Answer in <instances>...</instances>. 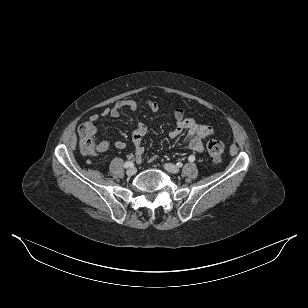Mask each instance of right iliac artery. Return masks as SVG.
I'll return each instance as SVG.
<instances>
[{"mask_svg": "<svg viewBox=\"0 0 308 308\" xmlns=\"http://www.w3.org/2000/svg\"><path fill=\"white\" fill-rule=\"evenodd\" d=\"M133 166V162L132 161H127L124 164V167L128 168V167H132Z\"/></svg>", "mask_w": 308, "mask_h": 308, "instance_id": "1", "label": "right iliac artery"}]
</instances>
